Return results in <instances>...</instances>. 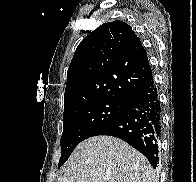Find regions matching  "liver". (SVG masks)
I'll return each mask as SVG.
<instances>
[{"mask_svg":"<svg viewBox=\"0 0 196 182\" xmlns=\"http://www.w3.org/2000/svg\"><path fill=\"white\" fill-rule=\"evenodd\" d=\"M57 182H158L144 155L126 142L94 136L73 151Z\"/></svg>","mask_w":196,"mask_h":182,"instance_id":"liver-1","label":"liver"}]
</instances>
